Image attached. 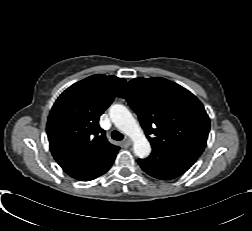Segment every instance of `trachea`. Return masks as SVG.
I'll return each mask as SVG.
<instances>
[{
  "mask_svg": "<svg viewBox=\"0 0 252 231\" xmlns=\"http://www.w3.org/2000/svg\"><path fill=\"white\" fill-rule=\"evenodd\" d=\"M111 137H112V139L118 140V141H120L124 138L123 134H121L119 131H116V130L112 131Z\"/></svg>",
  "mask_w": 252,
  "mask_h": 231,
  "instance_id": "obj_1",
  "label": "trachea"
}]
</instances>
